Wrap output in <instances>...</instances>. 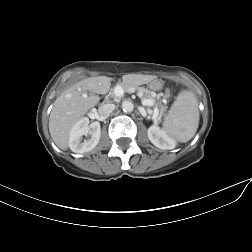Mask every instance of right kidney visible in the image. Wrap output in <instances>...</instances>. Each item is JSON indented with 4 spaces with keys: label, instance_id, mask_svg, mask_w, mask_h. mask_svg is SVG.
<instances>
[{
    "label": "right kidney",
    "instance_id": "obj_1",
    "mask_svg": "<svg viewBox=\"0 0 252 252\" xmlns=\"http://www.w3.org/2000/svg\"><path fill=\"white\" fill-rule=\"evenodd\" d=\"M91 135V139L82 141L83 135ZM101 135L100 123L94 121L89 125L88 118H81L71 129L68 138L69 148L74 153H85L94 149Z\"/></svg>",
    "mask_w": 252,
    "mask_h": 252
}]
</instances>
